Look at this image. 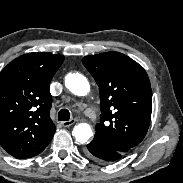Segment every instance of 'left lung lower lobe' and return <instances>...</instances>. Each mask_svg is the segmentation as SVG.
Wrapping results in <instances>:
<instances>
[{
  "mask_svg": "<svg viewBox=\"0 0 183 183\" xmlns=\"http://www.w3.org/2000/svg\"><path fill=\"white\" fill-rule=\"evenodd\" d=\"M86 155L100 163H110L121 159L125 154L118 152L94 138L85 150Z\"/></svg>",
  "mask_w": 183,
  "mask_h": 183,
  "instance_id": "1",
  "label": "left lung lower lobe"
}]
</instances>
